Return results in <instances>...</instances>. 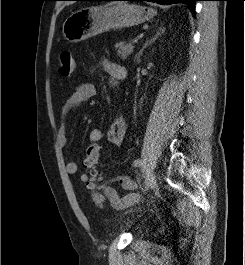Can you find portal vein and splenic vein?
I'll use <instances>...</instances> for the list:
<instances>
[{
	"label": "portal vein and splenic vein",
	"mask_w": 245,
	"mask_h": 265,
	"mask_svg": "<svg viewBox=\"0 0 245 265\" xmlns=\"http://www.w3.org/2000/svg\"><path fill=\"white\" fill-rule=\"evenodd\" d=\"M133 43H138V39H135V40L133 41Z\"/></svg>",
	"instance_id": "portal-vein-and-splenic-vein-1"
}]
</instances>
